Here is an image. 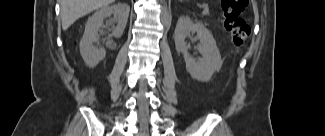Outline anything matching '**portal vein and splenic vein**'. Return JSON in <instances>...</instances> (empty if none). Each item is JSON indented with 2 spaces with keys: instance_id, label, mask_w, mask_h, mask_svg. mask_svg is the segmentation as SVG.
<instances>
[{
  "instance_id": "portal-vein-and-splenic-vein-1",
  "label": "portal vein and splenic vein",
  "mask_w": 325,
  "mask_h": 136,
  "mask_svg": "<svg viewBox=\"0 0 325 136\" xmlns=\"http://www.w3.org/2000/svg\"><path fill=\"white\" fill-rule=\"evenodd\" d=\"M208 11H209V8L206 6V7L204 8V10H203V14H207Z\"/></svg>"
}]
</instances>
